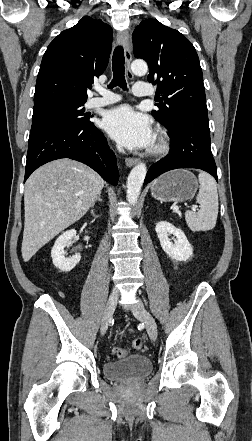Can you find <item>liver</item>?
I'll use <instances>...</instances> for the list:
<instances>
[{
  "instance_id": "obj_1",
  "label": "liver",
  "mask_w": 252,
  "mask_h": 441,
  "mask_svg": "<svg viewBox=\"0 0 252 441\" xmlns=\"http://www.w3.org/2000/svg\"><path fill=\"white\" fill-rule=\"evenodd\" d=\"M104 187L93 169L68 158L51 161L25 184L22 257L29 261L60 232L80 220Z\"/></svg>"
}]
</instances>
